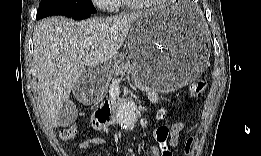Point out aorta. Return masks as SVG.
Listing matches in <instances>:
<instances>
[{
    "label": "aorta",
    "instance_id": "obj_1",
    "mask_svg": "<svg viewBox=\"0 0 261 156\" xmlns=\"http://www.w3.org/2000/svg\"><path fill=\"white\" fill-rule=\"evenodd\" d=\"M117 121L123 130L131 131L138 121V111L133 101L124 102L118 111Z\"/></svg>",
    "mask_w": 261,
    "mask_h": 156
}]
</instances>
